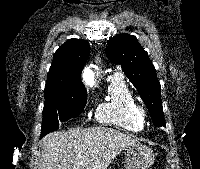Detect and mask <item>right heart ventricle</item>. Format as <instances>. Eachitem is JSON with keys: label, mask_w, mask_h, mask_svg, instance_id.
Here are the masks:
<instances>
[{"label": "right heart ventricle", "mask_w": 200, "mask_h": 169, "mask_svg": "<svg viewBox=\"0 0 200 169\" xmlns=\"http://www.w3.org/2000/svg\"><path fill=\"white\" fill-rule=\"evenodd\" d=\"M138 101L120 76L107 80V97L95 111L96 120L104 125L129 132H140L143 121L138 117Z\"/></svg>", "instance_id": "1"}]
</instances>
